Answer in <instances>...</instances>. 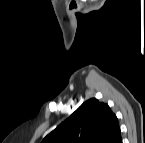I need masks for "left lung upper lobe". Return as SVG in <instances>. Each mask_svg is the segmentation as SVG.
<instances>
[{
    "instance_id": "1",
    "label": "left lung upper lobe",
    "mask_w": 145,
    "mask_h": 143,
    "mask_svg": "<svg viewBox=\"0 0 145 143\" xmlns=\"http://www.w3.org/2000/svg\"><path fill=\"white\" fill-rule=\"evenodd\" d=\"M120 138L118 119L110 107L89 99L42 143H117Z\"/></svg>"
}]
</instances>
